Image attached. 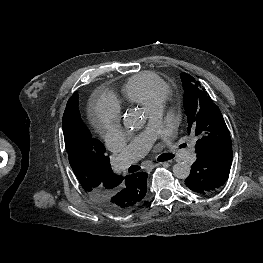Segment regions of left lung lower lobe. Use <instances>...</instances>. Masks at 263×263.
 <instances>
[{
    "label": "left lung lower lobe",
    "instance_id": "left-lung-lower-lobe-1",
    "mask_svg": "<svg viewBox=\"0 0 263 263\" xmlns=\"http://www.w3.org/2000/svg\"><path fill=\"white\" fill-rule=\"evenodd\" d=\"M232 164V147L223 145L214 150L197 154L186 178L187 187L198 194H209L223 186Z\"/></svg>",
    "mask_w": 263,
    "mask_h": 263
}]
</instances>
